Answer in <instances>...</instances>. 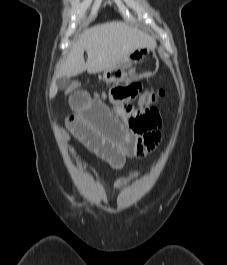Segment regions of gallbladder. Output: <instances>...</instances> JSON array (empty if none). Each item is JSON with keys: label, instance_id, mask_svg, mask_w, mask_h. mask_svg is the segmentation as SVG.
Returning <instances> with one entry per match:
<instances>
[{"label": "gallbladder", "instance_id": "obj_1", "mask_svg": "<svg viewBox=\"0 0 227 265\" xmlns=\"http://www.w3.org/2000/svg\"><path fill=\"white\" fill-rule=\"evenodd\" d=\"M69 77H60L56 80V85L58 87V89H65L69 86Z\"/></svg>", "mask_w": 227, "mask_h": 265}]
</instances>
